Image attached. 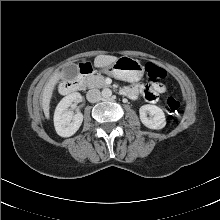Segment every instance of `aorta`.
I'll return each instance as SVG.
<instances>
[{
    "label": "aorta",
    "mask_w": 220,
    "mask_h": 220,
    "mask_svg": "<svg viewBox=\"0 0 220 220\" xmlns=\"http://www.w3.org/2000/svg\"><path fill=\"white\" fill-rule=\"evenodd\" d=\"M102 96L104 98H110L112 96V90L109 88H105L102 90Z\"/></svg>",
    "instance_id": "aorta-1"
}]
</instances>
